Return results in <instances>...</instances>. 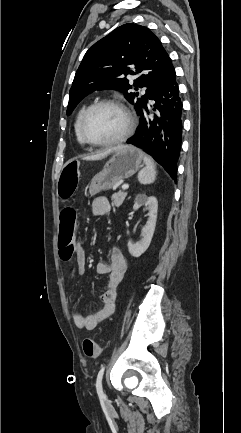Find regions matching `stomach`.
I'll return each mask as SVG.
<instances>
[{
	"mask_svg": "<svg viewBox=\"0 0 241 433\" xmlns=\"http://www.w3.org/2000/svg\"><path fill=\"white\" fill-rule=\"evenodd\" d=\"M142 152L134 146H124L96 174L90 183L91 196L113 188L120 180L131 177L141 166Z\"/></svg>",
	"mask_w": 241,
	"mask_h": 433,
	"instance_id": "stomach-1",
	"label": "stomach"
}]
</instances>
